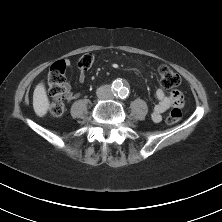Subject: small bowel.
Listing matches in <instances>:
<instances>
[{
	"mask_svg": "<svg viewBox=\"0 0 222 222\" xmlns=\"http://www.w3.org/2000/svg\"><path fill=\"white\" fill-rule=\"evenodd\" d=\"M67 64L70 65V62L67 61ZM86 79V74L84 71H80L79 81L84 82ZM65 99L68 101H72L76 99L79 94L74 93L72 91V87L70 82H65ZM155 97L158 103L155 105L151 117L154 122H160L162 120V115L168 109L172 108L173 110L179 111L185 107L186 101L183 94L179 91H174L170 94V96L166 95V93L162 89H157L155 92Z\"/></svg>",
	"mask_w": 222,
	"mask_h": 222,
	"instance_id": "small-bowel-1",
	"label": "small bowel"
}]
</instances>
